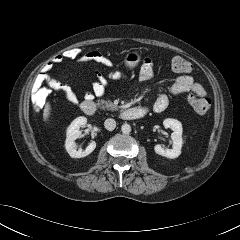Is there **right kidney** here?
<instances>
[{
	"label": "right kidney",
	"instance_id": "ca27d5eb",
	"mask_svg": "<svg viewBox=\"0 0 240 240\" xmlns=\"http://www.w3.org/2000/svg\"><path fill=\"white\" fill-rule=\"evenodd\" d=\"M87 123L86 117H77L75 120L72 121L70 126L67 128L66 132V142H65V148L70 157L72 158H82L94 151L96 148V142L92 141L85 150L79 149L76 150V144L75 140L81 137V130L80 128L85 127Z\"/></svg>",
	"mask_w": 240,
	"mask_h": 240
}]
</instances>
